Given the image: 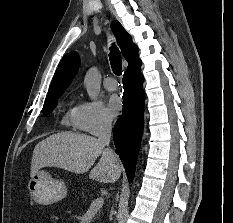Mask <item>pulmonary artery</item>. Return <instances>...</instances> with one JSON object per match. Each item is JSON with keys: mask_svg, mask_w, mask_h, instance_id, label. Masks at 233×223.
Returning a JSON list of instances; mask_svg holds the SVG:
<instances>
[{"mask_svg": "<svg viewBox=\"0 0 233 223\" xmlns=\"http://www.w3.org/2000/svg\"><path fill=\"white\" fill-rule=\"evenodd\" d=\"M104 87L109 91H113L117 88L116 81L111 77H107L104 79Z\"/></svg>", "mask_w": 233, "mask_h": 223, "instance_id": "1", "label": "pulmonary artery"}]
</instances>
